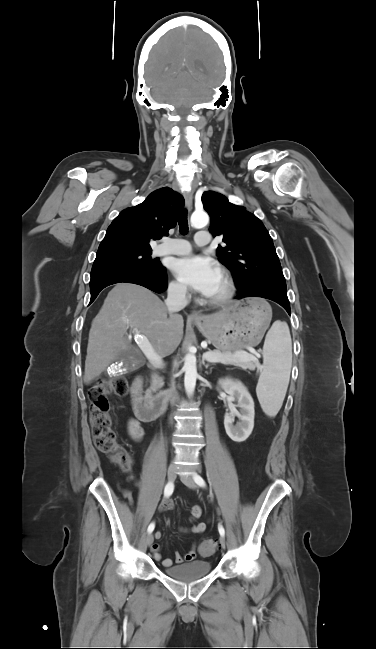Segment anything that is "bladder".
I'll use <instances>...</instances> for the list:
<instances>
[{"label":"bladder","mask_w":376,"mask_h":649,"mask_svg":"<svg viewBox=\"0 0 376 649\" xmlns=\"http://www.w3.org/2000/svg\"><path fill=\"white\" fill-rule=\"evenodd\" d=\"M212 570L211 564L207 561H193L191 563L171 566L164 569V573L174 580L189 583L201 579Z\"/></svg>","instance_id":"obj_1"}]
</instances>
